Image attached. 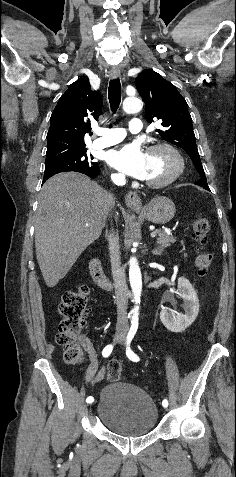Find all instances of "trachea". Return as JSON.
Wrapping results in <instances>:
<instances>
[{
    "instance_id": "trachea-1",
    "label": "trachea",
    "mask_w": 236,
    "mask_h": 477,
    "mask_svg": "<svg viewBox=\"0 0 236 477\" xmlns=\"http://www.w3.org/2000/svg\"><path fill=\"white\" fill-rule=\"evenodd\" d=\"M108 98L113 113H116L121 102V84L119 79H113L109 83Z\"/></svg>"
}]
</instances>
